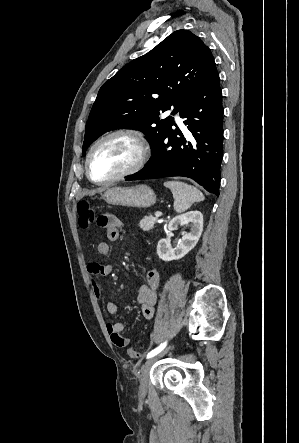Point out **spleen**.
I'll return each instance as SVG.
<instances>
[{
    "label": "spleen",
    "mask_w": 299,
    "mask_h": 443,
    "mask_svg": "<svg viewBox=\"0 0 299 443\" xmlns=\"http://www.w3.org/2000/svg\"><path fill=\"white\" fill-rule=\"evenodd\" d=\"M164 186L169 188L174 198V210L177 213L188 210L195 202H200L205 199L203 193L184 182L179 181H167L164 182Z\"/></svg>",
    "instance_id": "1"
}]
</instances>
